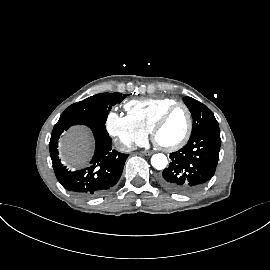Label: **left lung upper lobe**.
I'll return each instance as SVG.
<instances>
[{"label": "left lung upper lobe", "instance_id": "5c2ea615", "mask_svg": "<svg viewBox=\"0 0 270 270\" xmlns=\"http://www.w3.org/2000/svg\"><path fill=\"white\" fill-rule=\"evenodd\" d=\"M183 100L193 118L191 137L206 130L219 131L218 122L209 108L191 97H185Z\"/></svg>", "mask_w": 270, "mask_h": 270}]
</instances>
